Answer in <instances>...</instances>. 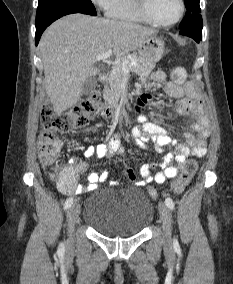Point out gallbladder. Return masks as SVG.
<instances>
[{"mask_svg": "<svg viewBox=\"0 0 233 284\" xmlns=\"http://www.w3.org/2000/svg\"><path fill=\"white\" fill-rule=\"evenodd\" d=\"M96 87H97V79L93 76L89 77L84 82L82 93L84 95H90L93 92H95Z\"/></svg>", "mask_w": 233, "mask_h": 284, "instance_id": "obj_1", "label": "gallbladder"}]
</instances>
